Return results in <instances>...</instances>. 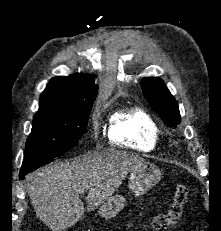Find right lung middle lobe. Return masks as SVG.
Listing matches in <instances>:
<instances>
[{
	"instance_id": "right-lung-middle-lobe-1",
	"label": "right lung middle lobe",
	"mask_w": 221,
	"mask_h": 231,
	"mask_svg": "<svg viewBox=\"0 0 221 231\" xmlns=\"http://www.w3.org/2000/svg\"><path fill=\"white\" fill-rule=\"evenodd\" d=\"M93 102L82 107L39 109L33 117L22 168L54 159L75 145L83 136Z\"/></svg>"
}]
</instances>
